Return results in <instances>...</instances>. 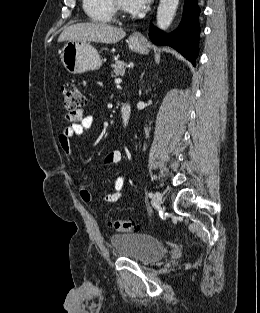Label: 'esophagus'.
Masks as SVG:
<instances>
[{
  "label": "esophagus",
  "instance_id": "34e87169",
  "mask_svg": "<svg viewBox=\"0 0 260 313\" xmlns=\"http://www.w3.org/2000/svg\"><path fill=\"white\" fill-rule=\"evenodd\" d=\"M134 37H135V38H139V37H140V34L135 33Z\"/></svg>",
  "mask_w": 260,
  "mask_h": 313
}]
</instances>
